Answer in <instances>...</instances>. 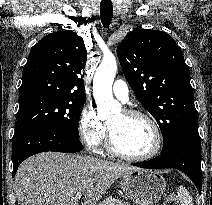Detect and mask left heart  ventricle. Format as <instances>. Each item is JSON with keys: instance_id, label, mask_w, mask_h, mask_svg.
I'll list each match as a JSON object with an SVG mask.
<instances>
[{"instance_id": "1", "label": "left heart ventricle", "mask_w": 212, "mask_h": 205, "mask_svg": "<svg viewBox=\"0 0 212 205\" xmlns=\"http://www.w3.org/2000/svg\"><path fill=\"white\" fill-rule=\"evenodd\" d=\"M115 147L129 155H140L152 146V132L148 123L139 117L119 113L108 121Z\"/></svg>"}]
</instances>
